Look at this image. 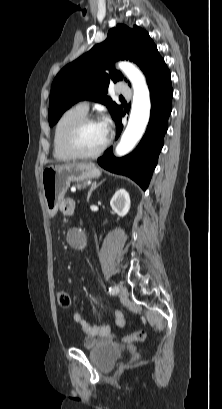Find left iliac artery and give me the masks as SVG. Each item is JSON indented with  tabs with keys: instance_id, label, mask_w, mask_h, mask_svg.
<instances>
[{
	"instance_id": "44dca946",
	"label": "left iliac artery",
	"mask_w": 222,
	"mask_h": 409,
	"mask_svg": "<svg viewBox=\"0 0 222 409\" xmlns=\"http://www.w3.org/2000/svg\"><path fill=\"white\" fill-rule=\"evenodd\" d=\"M108 292H109L110 294H112V295H115V294H117V293L119 292V288H118L117 286L110 287V288L108 289Z\"/></svg>"
}]
</instances>
